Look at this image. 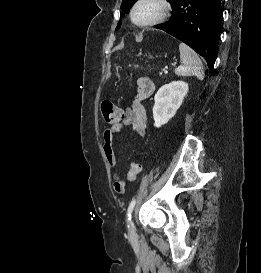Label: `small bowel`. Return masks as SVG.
I'll return each mask as SVG.
<instances>
[{"mask_svg":"<svg viewBox=\"0 0 261 273\" xmlns=\"http://www.w3.org/2000/svg\"><path fill=\"white\" fill-rule=\"evenodd\" d=\"M155 92V84L148 77H141L137 81V94L133 99L132 105L123 111V117L117 123L111 125L104 132V153L108 164L111 168H115L117 164L116 156L113 149V138L124 127H130L132 132L143 137L147 129V113L144 102L151 97ZM114 190L117 193L120 192L116 188V182L120 178L114 175Z\"/></svg>","mask_w":261,"mask_h":273,"instance_id":"c3829d8e","label":"small bowel"}]
</instances>
